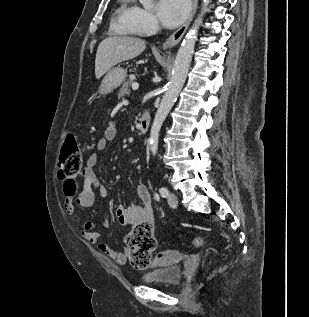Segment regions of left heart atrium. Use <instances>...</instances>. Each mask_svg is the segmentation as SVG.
Wrapping results in <instances>:
<instances>
[{"mask_svg": "<svg viewBox=\"0 0 309 317\" xmlns=\"http://www.w3.org/2000/svg\"><path fill=\"white\" fill-rule=\"evenodd\" d=\"M190 11V0H159L158 16L167 28H174L182 23Z\"/></svg>", "mask_w": 309, "mask_h": 317, "instance_id": "left-heart-atrium-1", "label": "left heart atrium"}]
</instances>
